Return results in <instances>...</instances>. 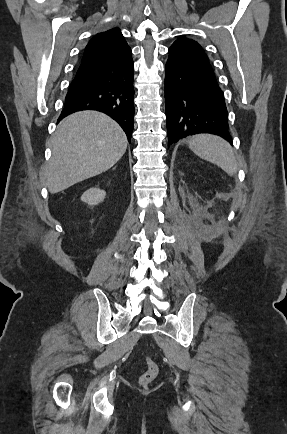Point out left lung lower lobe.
<instances>
[{
    "mask_svg": "<svg viewBox=\"0 0 287 434\" xmlns=\"http://www.w3.org/2000/svg\"><path fill=\"white\" fill-rule=\"evenodd\" d=\"M168 147L211 133L232 143L227 109L210 63L169 54L165 75Z\"/></svg>",
    "mask_w": 287,
    "mask_h": 434,
    "instance_id": "1",
    "label": "left lung lower lobe"
}]
</instances>
